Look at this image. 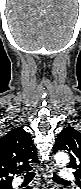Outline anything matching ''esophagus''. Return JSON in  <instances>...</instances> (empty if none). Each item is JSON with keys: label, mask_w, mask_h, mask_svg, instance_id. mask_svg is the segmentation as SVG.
Segmentation results:
<instances>
[{"label": "esophagus", "mask_w": 81, "mask_h": 189, "mask_svg": "<svg viewBox=\"0 0 81 189\" xmlns=\"http://www.w3.org/2000/svg\"><path fill=\"white\" fill-rule=\"evenodd\" d=\"M56 167L54 164L50 163L49 165L46 166V175L48 178H50L55 171Z\"/></svg>", "instance_id": "1"}]
</instances>
